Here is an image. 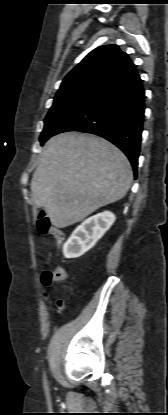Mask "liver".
Segmentation results:
<instances>
[{
    "instance_id": "6515ba94",
    "label": "liver",
    "mask_w": 168,
    "mask_h": 415,
    "mask_svg": "<svg viewBox=\"0 0 168 415\" xmlns=\"http://www.w3.org/2000/svg\"><path fill=\"white\" fill-rule=\"evenodd\" d=\"M132 180L130 162L112 143L92 134L62 133L44 147L31 181L32 199L52 225L65 228L122 199Z\"/></svg>"
}]
</instances>
